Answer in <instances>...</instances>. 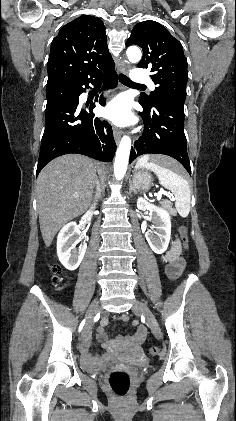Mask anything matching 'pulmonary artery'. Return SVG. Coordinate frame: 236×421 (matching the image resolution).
<instances>
[{
    "label": "pulmonary artery",
    "mask_w": 236,
    "mask_h": 421,
    "mask_svg": "<svg viewBox=\"0 0 236 421\" xmlns=\"http://www.w3.org/2000/svg\"><path fill=\"white\" fill-rule=\"evenodd\" d=\"M132 76L137 86H150L152 84V79L147 77L148 71L146 69H134Z\"/></svg>",
    "instance_id": "e3ab8cb5"
}]
</instances>
